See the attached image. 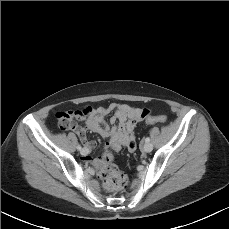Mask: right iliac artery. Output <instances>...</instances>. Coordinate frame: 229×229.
I'll use <instances>...</instances> for the list:
<instances>
[{
  "label": "right iliac artery",
  "mask_w": 229,
  "mask_h": 229,
  "mask_svg": "<svg viewBox=\"0 0 229 229\" xmlns=\"http://www.w3.org/2000/svg\"><path fill=\"white\" fill-rule=\"evenodd\" d=\"M81 148H82L81 145H77L78 150H81Z\"/></svg>",
  "instance_id": "1"
}]
</instances>
